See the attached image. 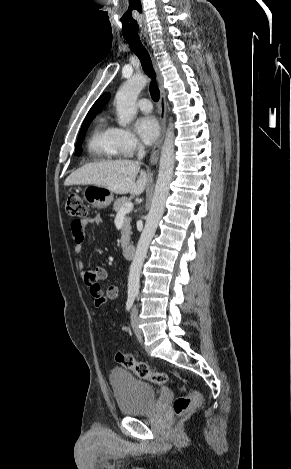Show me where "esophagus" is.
<instances>
[{
  "label": "esophagus",
  "mask_w": 291,
  "mask_h": 469,
  "mask_svg": "<svg viewBox=\"0 0 291 469\" xmlns=\"http://www.w3.org/2000/svg\"><path fill=\"white\" fill-rule=\"evenodd\" d=\"M143 43L147 47V49L151 51V44H150L149 39L143 38ZM151 58H152L154 70L157 75V80H158L159 89H160L159 115H160V123H161V134H160L158 141L154 145L151 151V155H150V164L155 165L159 159V153H160V149L162 146V142H163L164 135H165V129H166V98H165V90L163 86V77L159 70L157 61L152 54H151Z\"/></svg>",
  "instance_id": "esophagus-1"
}]
</instances>
